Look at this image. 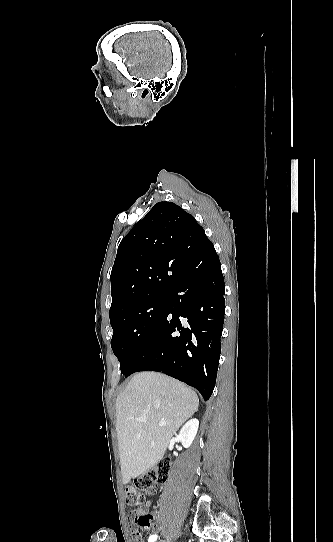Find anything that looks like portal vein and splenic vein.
Instances as JSON below:
<instances>
[{
	"instance_id": "1",
	"label": "portal vein and splenic vein",
	"mask_w": 333,
	"mask_h": 542,
	"mask_svg": "<svg viewBox=\"0 0 333 542\" xmlns=\"http://www.w3.org/2000/svg\"><path fill=\"white\" fill-rule=\"evenodd\" d=\"M138 422H147L146 418H139ZM158 426H166V422H159Z\"/></svg>"
}]
</instances>
